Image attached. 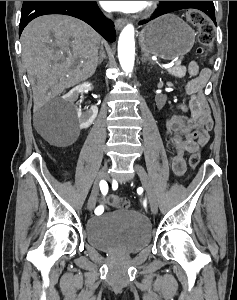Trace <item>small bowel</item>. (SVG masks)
<instances>
[{
	"mask_svg": "<svg viewBox=\"0 0 237 300\" xmlns=\"http://www.w3.org/2000/svg\"><path fill=\"white\" fill-rule=\"evenodd\" d=\"M188 74L191 79L186 84V92L190 95L187 104H180L178 108L188 112V116L174 115L165 123L164 134L174 155L171 166L176 176H182L186 170L185 154L193 153L204 146L209 140V132L213 128V119L210 115L204 90L211 76L209 69H199L195 61L188 65ZM67 175V174H66ZM79 188H87L88 183L78 180ZM103 194V193H102ZM102 194L96 195V202L106 207Z\"/></svg>",
	"mask_w": 237,
	"mask_h": 300,
	"instance_id": "small-bowel-1",
	"label": "small bowel"
}]
</instances>
